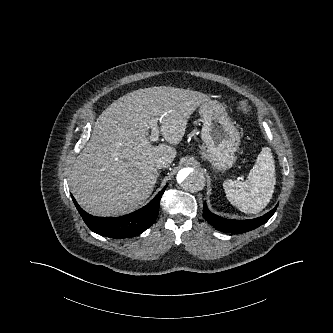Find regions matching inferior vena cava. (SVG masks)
<instances>
[{
	"label": "inferior vena cava",
	"mask_w": 333,
	"mask_h": 333,
	"mask_svg": "<svg viewBox=\"0 0 333 333\" xmlns=\"http://www.w3.org/2000/svg\"><path fill=\"white\" fill-rule=\"evenodd\" d=\"M170 163H171L170 159L161 157V158L156 159L155 167L157 169L167 168L170 165Z\"/></svg>",
	"instance_id": "inferior-vena-cava-1"
}]
</instances>
